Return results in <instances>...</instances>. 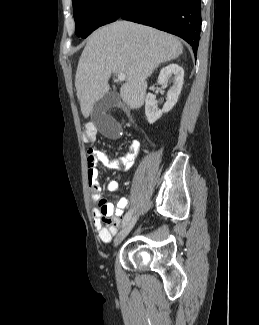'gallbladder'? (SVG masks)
<instances>
[{
  "label": "gallbladder",
  "mask_w": 259,
  "mask_h": 325,
  "mask_svg": "<svg viewBox=\"0 0 259 325\" xmlns=\"http://www.w3.org/2000/svg\"><path fill=\"white\" fill-rule=\"evenodd\" d=\"M119 102V94L116 91H110L93 105L92 121L101 131V135L107 136L108 139L122 138L120 122L114 121L112 115L106 114L110 108L115 107Z\"/></svg>",
  "instance_id": "bac80fb5"
}]
</instances>
